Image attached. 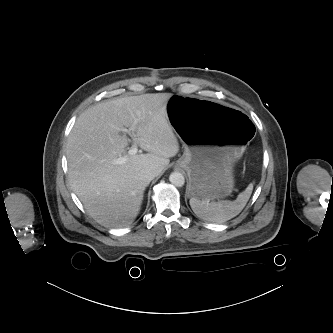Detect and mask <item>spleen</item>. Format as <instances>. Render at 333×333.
Wrapping results in <instances>:
<instances>
[{"mask_svg": "<svg viewBox=\"0 0 333 333\" xmlns=\"http://www.w3.org/2000/svg\"><path fill=\"white\" fill-rule=\"evenodd\" d=\"M253 190V184L240 193L236 200H220L208 202L198 198L190 199V206L193 212L201 219L209 222L222 223L237 216L245 207Z\"/></svg>", "mask_w": 333, "mask_h": 333, "instance_id": "spleen-1", "label": "spleen"}]
</instances>
